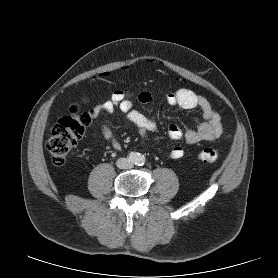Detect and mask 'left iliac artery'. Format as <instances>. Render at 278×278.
Here are the masks:
<instances>
[{
	"mask_svg": "<svg viewBox=\"0 0 278 278\" xmlns=\"http://www.w3.org/2000/svg\"><path fill=\"white\" fill-rule=\"evenodd\" d=\"M144 163H145V158H144V156H140V157L138 158V161H137L138 166H142V165H144Z\"/></svg>",
	"mask_w": 278,
	"mask_h": 278,
	"instance_id": "left-iliac-artery-1",
	"label": "left iliac artery"
}]
</instances>
